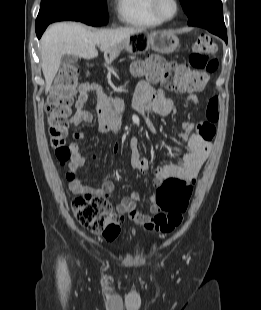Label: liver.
I'll return each instance as SVG.
<instances>
[{
  "label": "liver",
  "mask_w": 261,
  "mask_h": 310,
  "mask_svg": "<svg viewBox=\"0 0 261 310\" xmlns=\"http://www.w3.org/2000/svg\"><path fill=\"white\" fill-rule=\"evenodd\" d=\"M142 31L140 28L91 31L75 22L51 25L41 38V66L46 81V93L51 88L63 55L93 59L98 56L96 45H100V50L106 56L117 44Z\"/></svg>",
  "instance_id": "6515ba94"
}]
</instances>
